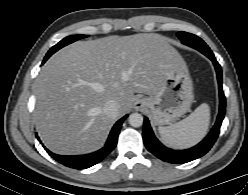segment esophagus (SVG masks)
Listing matches in <instances>:
<instances>
[{
	"label": "esophagus",
	"instance_id": "obj_1",
	"mask_svg": "<svg viewBox=\"0 0 248 195\" xmlns=\"http://www.w3.org/2000/svg\"><path fill=\"white\" fill-rule=\"evenodd\" d=\"M145 106V100L144 99H137L134 103V109L135 110H141Z\"/></svg>",
	"mask_w": 248,
	"mask_h": 195
}]
</instances>
